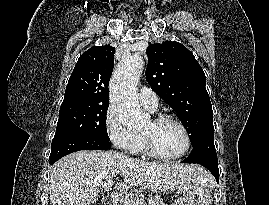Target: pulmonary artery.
<instances>
[{
  "label": "pulmonary artery",
  "mask_w": 269,
  "mask_h": 205,
  "mask_svg": "<svg viewBox=\"0 0 269 205\" xmlns=\"http://www.w3.org/2000/svg\"><path fill=\"white\" fill-rule=\"evenodd\" d=\"M141 104L148 110L155 112L158 108V97L154 91L148 87H142L139 91Z\"/></svg>",
  "instance_id": "pulmonary-artery-1"
}]
</instances>
